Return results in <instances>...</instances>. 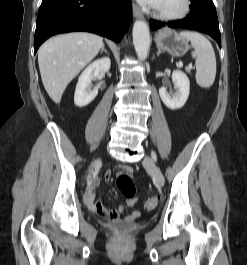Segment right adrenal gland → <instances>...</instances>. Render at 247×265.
<instances>
[{"label":"right adrenal gland","mask_w":247,"mask_h":265,"mask_svg":"<svg viewBox=\"0 0 247 265\" xmlns=\"http://www.w3.org/2000/svg\"><path fill=\"white\" fill-rule=\"evenodd\" d=\"M102 52H105L106 54L108 53L107 50L105 49V46L103 45L102 48H101V53Z\"/></svg>","instance_id":"right-adrenal-gland-1"}]
</instances>
